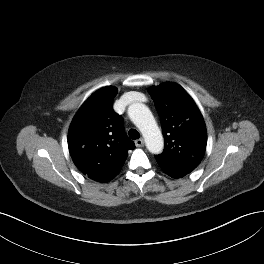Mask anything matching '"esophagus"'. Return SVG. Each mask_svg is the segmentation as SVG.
<instances>
[{
    "label": "esophagus",
    "mask_w": 264,
    "mask_h": 264,
    "mask_svg": "<svg viewBox=\"0 0 264 264\" xmlns=\"http://www.w3.org/2000/svg\"><path fill=\"white\" fill-rule=\"evenodd\" d=\"M135 145H136V147H143V145H144L143 139H137L135 141Z\"/></svg>",
    "instance_id": "1"
}]
</instances>
